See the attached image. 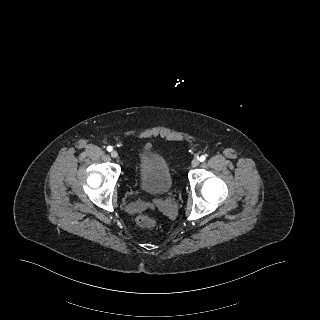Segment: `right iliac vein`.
I'll use <instances>...</instances> for the list:
<instances>
[{
    "label": "right iliac vein",
    "mask_w": 320,
    "mask_h": 320,
    "mask_svg": "<svg viewBox=\"0 0 320 320\" xmlns=\"http://www.w3.org/2000/svg\"><path fill=\"white\" fill-rule=\"evenodd\" d=\"M111 156H112L113 158H116V157L118 156V152L115 151V150H113V151L111 152Z\"/></svg>",
    "instance_id": "right-iliac-vein-1"
}]
</instances>
